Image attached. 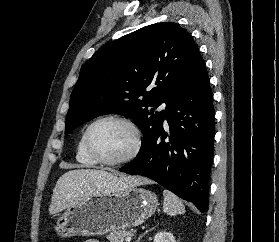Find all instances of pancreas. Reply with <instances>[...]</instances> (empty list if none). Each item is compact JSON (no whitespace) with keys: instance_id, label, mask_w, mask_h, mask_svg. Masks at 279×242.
<instances>
[{"instance_id":"cf45deb5","label":"pancreas","mask_w":279,"mask_h":242,"mask_svg":"<svg viewBox=\"0 0 279 242\" xmlns=\"http://www.w3.org/2000/svg\"><path fill=\"white\" fill-rule=\"evenodd\" d=\"M134 233L133 230H119V231H112L108 236L107 239L110 242H123L125 237L132 236Z\"/></svg>"}]
</instances>
